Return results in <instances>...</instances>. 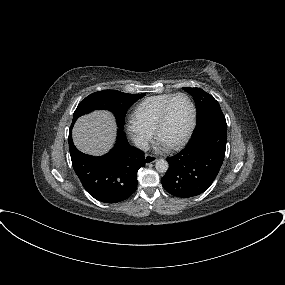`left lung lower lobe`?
<instances>
[{"label": "left lung lower lobe", "instance_id": "obj_1", "mask_svg": "<svg viewBox=\"0 0 285 285\" xmlns=\"http://www.w3.org/2000/svg\"><path fill=\"white\" fill-rule=\"evenodd\" d=\"M227 124L221 109L208 112L197 122L187 146L168 157L169 169L161 178L173 196L189 198L203 193L216 178L223 163Z\"/></svg>", "mask_w": 285, "mask_h": 285}]
</instances>
